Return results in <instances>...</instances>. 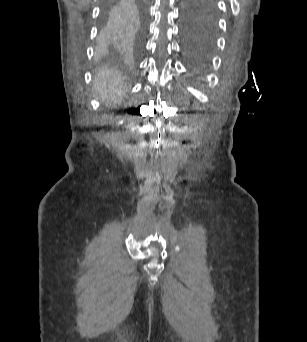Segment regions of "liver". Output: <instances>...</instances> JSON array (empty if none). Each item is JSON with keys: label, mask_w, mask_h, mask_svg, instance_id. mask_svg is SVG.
Masks as SVG:
<instances>
[{"label": "liver", "mask_w": 307, "mask_h": 342, "mask_svg": "<svg viewBox=\"0 0 307 342\" xmlns=\"http://www.w3.org/2000/svg\"><path fill=\"white\" fill-rule=\"evenodd\" d=\"M93 88L102 102L107 100V102H113V104H117L124 92L128 90L127 86H124L119 72L107 70V68L98 70Z\"/></svg>", "instance_id": "6515ba94"}]
</instances>
